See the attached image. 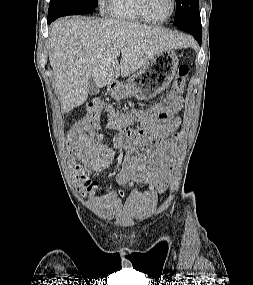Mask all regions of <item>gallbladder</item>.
<instances>
[{
    "instance_id": "bac80fb5",
    "label": "gallbladder",
    "mask_w": 253,
    "mask_h": 285,
    "mask_svg": "<svg viewBox=\"0 0 253 285\" xmlns=\"http://www.w3.org/2000/svg\"><path fill=\"white\" fill-rule=\"evenodd\" d=\"M88 92L90 95H96L99 92V88L92 77L89 79Z\"/></svg>"
}]
</instances>
